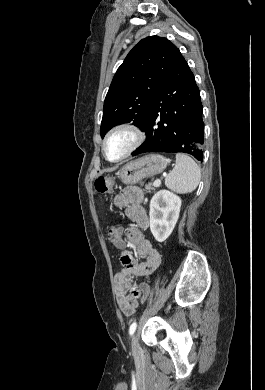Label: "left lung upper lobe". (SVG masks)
Masks as SVG:
<instances>
[{
    "label": "left lung upper lobe",
    "mask_w": 265,
    "mask_h": 390,
    "mask_svg": "<svg viewBox=\"0 0 265 390\" xmlns=\"http://www.w3.org/2000/svg\"><path fill=\"white\" fill-rule=\"evenodd\" d=\"M179 49L168 39L149 36L128 53L106 95L101 137L115 125L133 121L144 129L151 103L178 60Z\"/></svg>",
    "instance_id": "obj_1"
}]
</instances>
